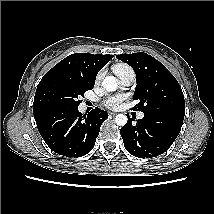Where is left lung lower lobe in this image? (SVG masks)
Returning a JSON list of instances; mask_svg holds the SVG:
<instances>
[{"instance_id":"0a47b994","label":"left lung lower lobe","mask_w":214,"mask_h":214,"mask_svg":"<svg viewBox=\"0 0 214 214\" xmlns=\"http://www.w3.org/2000/svg\"><path fill=\"white\" fill-rule=\"evenodd\" d=\"M132 123L133 118L121 128L125 149L138 158H152L166 152L177 138L184 116L151 112Z\"/></svg>"}]
</instances>
